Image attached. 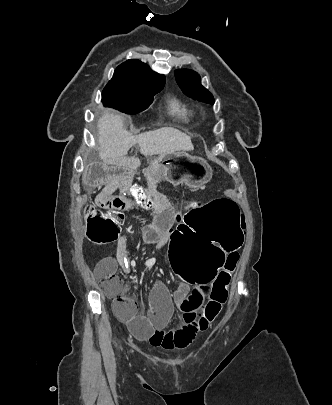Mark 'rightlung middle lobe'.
<instances>
[{"mask_svg":"<svg viewBox=\"0 0 332 405\" xmlns=\"http://www.w3.org/2000/svg\"><path fill=\"white\" fill-rule=\"evenodd\" d=\"M163 86L140 87L122 79H111L102 92V102L127 114H136L147 109L154 95Z\"/></svg>","mask_w":332,"mask_h":405,"instance_id":"obj_1","label":"right lung middle lobe"}]
</instances>
